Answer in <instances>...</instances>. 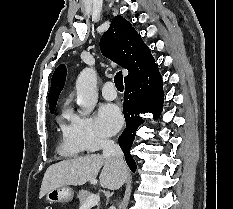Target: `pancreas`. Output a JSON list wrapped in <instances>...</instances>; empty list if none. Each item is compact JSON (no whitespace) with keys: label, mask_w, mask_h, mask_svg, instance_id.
Wrapping results in <instances>:
<instances>
[{"label":"pancreas","mask_w":233,"mask_h":209,"mask_svg":"<svg viewBox=\"0 0 233 209\" xmlns=\"http://www.w3.org/2000/svg\"><path fill=\"white\" fill-rule=\"evenodd\" d=\"M92 194L88 190H81L79 191L77 198L79 199L80 206H83V204L86 202V200L91 196ZM99 209V208H97Z\"/></svg>","instance_id":"pancreas-1"}]
</instances>
